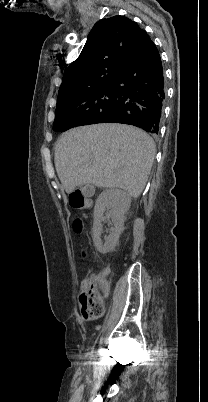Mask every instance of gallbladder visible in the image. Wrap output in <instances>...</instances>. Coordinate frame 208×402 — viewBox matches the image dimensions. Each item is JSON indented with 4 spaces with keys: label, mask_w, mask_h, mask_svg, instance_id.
Listing matches in <instances>:
<instances>
[{
    "label": "gallbladder",
    "mask_w": 208,
    "mask_h": 402,
    "mask_svg": "<svg viewBox=\"0 0 208 402\" xmlns=\"http://www.w3.org/2000/svg\"><path fill=\"white\" fill-rule=\"evenodd\" d=\"M96 184L93 181L88 182L87 186H84L83 193L86 198H89L91 195H95L96 193Z\"/></svg>",
    "instance_id": "gallbladder-1"
}]
</instances>
